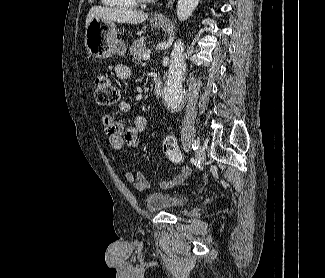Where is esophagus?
<instances>
[{
  "label": "esophagus",
  "mask_w": 325,
  "mask_h": 278,
  "mask_svg": "<svg viewBox=\"0 0 325 278\" xmlns=\"http://www.w3.org/2000/svg\"><path fill=\"white\" fill-rule=\"evenodd\" d=\"M175 0H168L164 11H159L154 14V20L163 21L166 19L165 11L173 6Z\"/></svg>",
  "instance_id": "1"
}]
</instances>
